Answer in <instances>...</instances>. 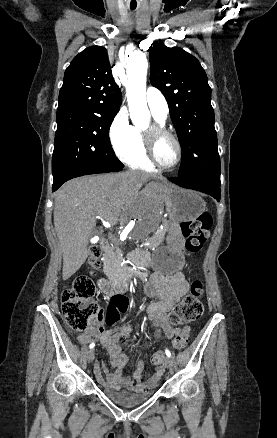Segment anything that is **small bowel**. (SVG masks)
<instances>
[{
	"instance_id": "c3829d8e",
	"label": "small bowel",
	"mask_w": 277,
	"mask_h": 438,
	"mask_svg": "<svg viewBox=\"0 0 277 438\" xmlns=\"http://www.w3.org/2000/svg\"><path fill=\"white\" fill-rule=\"evenodd\" d=\"M189 283L182 272H175L170 276L161 273H154L150 282L145 287V292L150 297H157V300L147 306V313L150 322L156 327L164 329L169 339L180 335V330L174 327L169 319V312L181 298L188 292ZM135 328L131 324H123L113 329H105L102 325L93 327L77 336L82 345H88L93 339H98L107 350L110 358V365L113 371L108 369L106 364L101 369L106 374L104 380L100 374L99 364H95L97 381L109 389L127 388L134 391H146L156 387L164 374V368H155L151 378L142 380L145 364L138 361L133 369L132 376H124V369L129 360L121 350L120 339L129 338ZM153 364V363H152Z\"/></svg>"
}]
</instances>
